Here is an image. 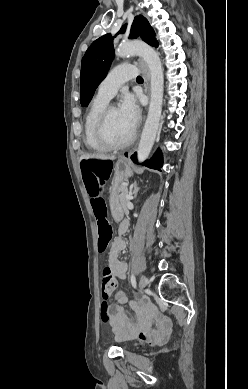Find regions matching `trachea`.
Listing matches in <instances>:
<instances>
[{"mask_svg":"<svg viewBox=\"0 0 248 389\" xmlns=\"http://www.w3.org/2000/svg\"><path fill=\"white\" fill-rule=\"evenodd\" d=\"M136 80H137V81H142L143 78H142L141 76H138V77L136 78Z\"/></svg>","mask_w":248,"mask_h":389,"instance_id":"obj_1","label":"trachea"}]
</instances>
